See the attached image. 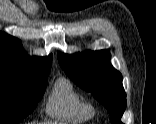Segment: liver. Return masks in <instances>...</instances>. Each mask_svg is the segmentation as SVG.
I'll return each instance as SVG.
<instances>
[{"instance_id": "6515ba94", "label": "liver", "mask_w": 156, "mask_h": 124, "mask_svg": "<svg viewBox=\"0 0 156 124\" xmlns=\"http://www.w3.org/2000/svg\"><path fill=\"white\" fill-rule=\"evenodd\" d=\"M35 124V123H34ZM45 124V123H44ZM47 124H57V123H52V122H49V123H47Z\"/></svg>"}]
</instances>
